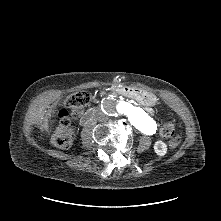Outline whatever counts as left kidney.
I'll return each instance as SVG.
<instances>
[{
  "instance_id": "5707ae66",
  "label": "left kidney",
  "mask_w": 221,
  "mask_h": 221,
  "mask_svg": "<svg viewBox=\"0 0 221 221\" xmlns=\"http://www.w3.org/2000/svg\"><path fill=\"white\" fill-rule=\"evenodd\" d=\"M154 151L159 156H164L167 153V145L162 141H156Z\"/></svg>"
}]
</instances>
